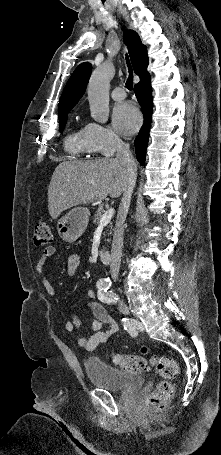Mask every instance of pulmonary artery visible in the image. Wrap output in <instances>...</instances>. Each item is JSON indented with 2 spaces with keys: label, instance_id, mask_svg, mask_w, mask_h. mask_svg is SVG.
<instances>
[{
  "label": "pulmonary artery",
  "instance_id": "e3ab8cb5",
  "mask_svg": "<svg viewBox=\"0 0 221 455\" xmlns=\"http://www.w3.org/2000/svg\"><path fill=\"white\" fill-rule=\"evenodd\" d=\"M111 97L115 100V101H121L123 100L125 97H126V94H125V91L123 90V88L121 87H116L113 89V91L111 92Z\"/></svg>",
  "mask_w": 221,
  "mask_h": 455
}]
</instances>
